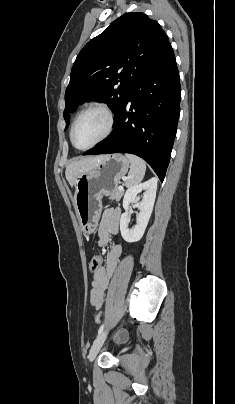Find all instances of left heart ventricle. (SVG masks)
I'll return each instance as SVG.
<instances>
[{"instance_id":"b2bd125f","label":"left heart ventricle","mask_w":235,"mask_h":404,"mask_svg":"<svg viewBox=\"0 0 235 404\" xmlns=\"http://www.w3.org/2000/svg\"><path fill=\"white\" fill-rule=\"evenodd\" d=\"M107 118L103 112L90 111L77 122L73 134L76 146L84 148L97 141L105 132Z\"/></svg>"}]
</instances>
